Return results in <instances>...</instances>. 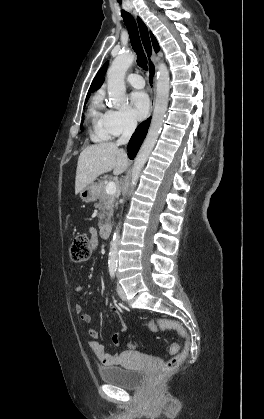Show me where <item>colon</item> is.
Returning a JSON list of instances; mask_svg holds the SVG:
<instances>
[{"label":"colon","mask_w":264,"mask_h":419,"mask_svg":"<svg viewBox=\"0 0 264 419\" xmlns=\"http://www.w3.org/2000/svg\"><path fill=\"white\" fill-rule=\"evenodd\" d=\"M70 255L72 260L75 262H83L89 258L90 240L87 235L79 234L74 237L70 248ZM148 326L149 329L153 332L162 330H174L186 339V343L182 351H179V345L177 343H173L170 346L169 352L170 354H173V356L162 367V374L168 375L172 373L184 361L189 352L190 343L188 340V334L184 327L174 320L155 319L151 320Z\"/></svg>","instance_id":"colon-1"}]
</instances>
